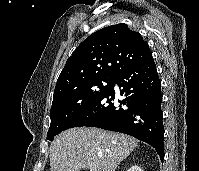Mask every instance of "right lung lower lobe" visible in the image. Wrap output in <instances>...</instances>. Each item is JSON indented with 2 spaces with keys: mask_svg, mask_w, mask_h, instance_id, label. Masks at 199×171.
Returning a JSON list of instances; mask_svg holds the SVG:
<instances>
[{
  "mask_svg": "<svg viewBox=\"0 0 199 171\" xmlns=\"http://www.w3.org/2000/svg\"><path fill=\"white\" fill-rule=\"evenodd\" d=\"M116 84L122 100L115 97ZM161 102V82L151 56L122 71L112 85L80 111L64 130L88 126L125 133L153 146L162 161Z\"/></svg>",
  "mask_w": 199,
  "mask_h": 171,
  "instance_id": "1",
  "label": "right lung lower lobe"
}]
</instances>
